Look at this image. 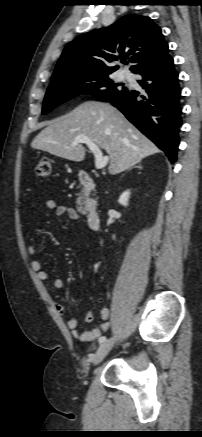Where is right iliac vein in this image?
I'll return each mask as SVG.
<instances>
[{
  "label": "right iliac vein",
  "instance_id": "1",
  "mask_svg": "<svg viewBox=\"0 0 202 437\" xmlns=\"http://www.w3.org/2000/svg\"><path fill=\"white\" fill-rule=\"evenodd\" d=\"M113 344H114V340L110 339V340H107V341L103 342L99 346V348L97 349L95 355L92 358L93 365L99 364L107 356V354L111 350Z\"/></svg>",
  "mask_w": 202,
  "mask_h": 437
}]
</instances>
